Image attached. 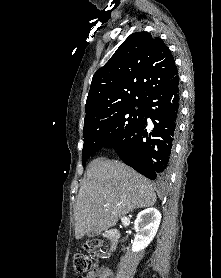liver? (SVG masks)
<instances>
[{"label": "liver", "mask_w": 221, "mask_h": 278, "mask_svg": "<svg viewBox=\"0 0 221 278\" xmlns=\"http://www.w3.org/2000/svg\"><path fill=\"white\" fill-rule=\"evenodd\" d=\"M156 199L152 184L135 170L118 160L97 158L88 166L75 204L76 239L114 227L122 215L151 207Z\"/></svg>", "instance_id": "6515ba94"}]
</instances>
